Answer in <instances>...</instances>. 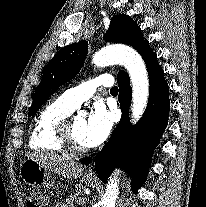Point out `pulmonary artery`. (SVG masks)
<instances>
[{"label":"pulmonary artery","mask_w":206,"mask_h":207,"mask_svg":"<svg viewBox=\"0 0 206 207\" xmlns=\"http://www.w3.org/2000/svg\"><path fill=\"white\" fill-rule=\"evenodd\" d=\"M112 84L113 77L110 74H102L79 86L68 89L62 94V98L71 108L77 109L82 102L89 99L95 93L99 86L109 87Z\"/></svg>","instance_id":"e3ab8cb5"}]
</instances>
